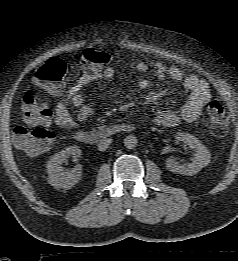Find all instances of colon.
<instances>
[{"label": "colon", "mask_w": 238, "mask_h": 261, "mask_svg": "<svg viewBox=\"0 0 238 261\" xmlns=\"http://www.w3.org/2000/svg\"><path fill=\"white\" fill-rule=\"evenodd\" d=\"M110 60L107 51L90 49L80 56V64L90 71H100ZM66 74V64L59 58H51L33 73L34 82L52 93H59ZM25 125L14 128L12 139L23 153L36 156L44 152L53 142L55 134L48 128L51 111L45 102L27 93L23 98ZM206 118L211 133L216 137L225 135L229 120L227 106L212 100L207 106Z\"/></svg>", "instance_id": "obj_1"}]
</instances>
